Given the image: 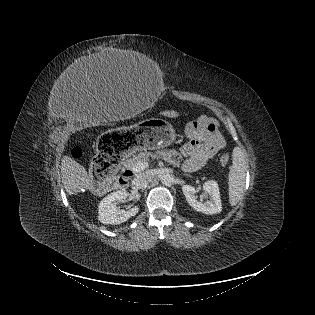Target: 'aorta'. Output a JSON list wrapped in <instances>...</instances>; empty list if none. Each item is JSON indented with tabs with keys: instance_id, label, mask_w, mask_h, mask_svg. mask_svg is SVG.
<instances>
[{
	"instance_id": "1",
	"label": "aorta",
	"mask_w": 315,
	"mask_h": 315,
	"mask_svg": "<svg viewBox=\"0 0 315 315\" xmlns=\"http://www.w3.org/2000/svg\"><path fill=\"white\" fill-rule=\"evenodd\" d=\"M175 182V178L172 174H164L162 177H161V183L165 186H172Z\"/></svg>"
}]
</instances>
